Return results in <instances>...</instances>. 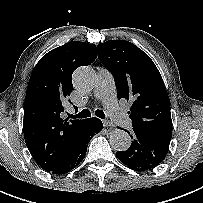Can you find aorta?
<instances>
[{"label": "aorta", "mask_w": 203, "mask_h": 203, "mask_svg": "<svg viewBox=\"0 0 203 203\" xmlns=\"http://www.w3.org/2000/svg\"><path fill=\"white\" fill-rule=\"evenodd\" d=\"M73 83L79 92H90L96 84V74L88 67H80L74 72ZM109 142L114 150L126 151L131 145V138L127 132L117 129L111 133Z\"/></svg>", "instance_id": "aorta-1"}]
</instances>
